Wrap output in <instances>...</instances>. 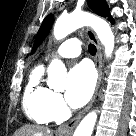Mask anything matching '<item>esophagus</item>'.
Here are the masks:
<instances>
[{
  "instance_id": "34e87169",
  "label": "esophagus",
  "mask_w": 136,
  "mask_h": 136,
  "mask_svg": "<svg viewBox=\"0 0 136 136\" xmlns=\"http://www.w3.org/2000/svg\"><path fill=\"white\" fill-rule=\"evenodd\" d=\"M86 33H87L88 38L95 44V46L97 48V52H96V55L94 58L95 65L97 67V72H98V79H97L95 93H94V96H93L92 100L90 101V103L87 105V107L82 112H80L76 117H74L69 122L61 125L58 128L59 133L69 134V133L73 132V130L75 129V127L77 126L79 121L82 119V117L85 115V113L88 112L89 109L91 108V106L95 100V97L97 95L99 86H100V81H101V77H102V47H101V44H100L96 34L90 28H86Z\"/></svg>"
}]
</instances>
